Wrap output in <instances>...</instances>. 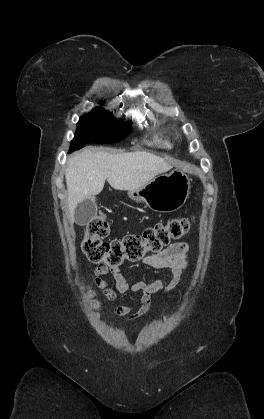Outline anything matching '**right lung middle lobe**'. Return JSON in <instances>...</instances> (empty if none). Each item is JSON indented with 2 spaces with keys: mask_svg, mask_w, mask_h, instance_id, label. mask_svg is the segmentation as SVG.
<instances>
[{
  "mask_svg": "<svg viewBox=\"0 0 264 419\" xmlns=\"http://www.w3.org/2000/svg\"><path fill=\"white\" fill-rule=\"evenodd\" d=\"M131 125V121L122 123L108 112L94 109L80 117L69 152L78 150L87 143L118 142L130 133Z\"/></svg>",
  "mask_w": 264,
  "mask_h": 419,
  "instance_id": "right-lung-middle-lobe-1",
  "label": "right lung middle lobe"
}]
</instances>
